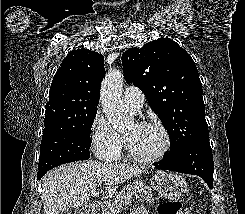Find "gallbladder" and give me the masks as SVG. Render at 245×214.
Segmentation results:
<instances>
[{
  "mask_svg": "<svg viewBox=\"0 0 245 214\" xmlns=\"http://www.w3.org/2000/svg\"><path fill=\"white\" fill-rule=\"evenodd\" d=\"M60 214H72L70 209L62 211Z\"/></svg>",
  "mask_w": 245,
  "mask_h": 214,
  "instance_id": "1",
  "label": "gallbladder"
}]
</instances>
